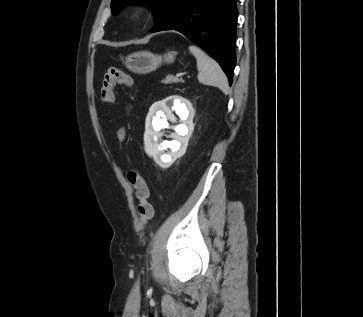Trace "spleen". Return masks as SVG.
I'll return each mask as SVG.
<instances>
[{
  "label": "spleen",
  "instance_id": "3e777b00",
  "mask_svg": "<svg viewBox=\"0 0 363 317\" xmlns=\"http://www.w3.org/2000/svg\"><path fill=\"white\" fill-rule=\"evenodd\" d=\"M189 50L197 60L199 82L205 85L219 87L225 94H228V79L217 61L197 46L191 45L189 46Z\"/></svg>",
  "mask_w": 363,
  "mask_h": 317
}]
</instances>
